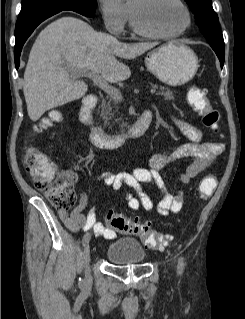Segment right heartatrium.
Returning a JSON list of instances; mask_svg holds the SVG:
<instances>
[{
    "instance_id": "d8ad5b80",
    "label": "right heart atrium",
    "mask_w": 245,
    "mask_h": 319,
    "mask_svg": "<svg viewBox=\"0 0 245 319\" xmlns=\"http://www.w3.org/2000/svg\"><path fill=\"white\" fill-rule=\"evenodd\" d=\"M99 11L106 29L120 35L128 21L127 7L120 0H98Z\"/></svg>"
}]
</instances>
